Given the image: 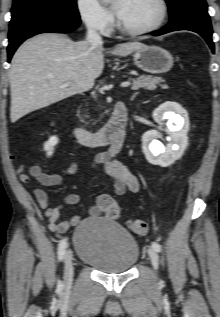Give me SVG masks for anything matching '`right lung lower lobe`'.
Listing matches in <instances>:
<instances>
[{
  "mask_svg": "<svg viewBox=\"0 0 220 317\" xmlns=\"http://www.w3.org/2000/svg\"><path fill=\"white\" fill-rule=\"evenodd\" d=\"M80 19L54 13H36L10 22L8 62L17 47L27 38L44 32L67 33L80 25Z\"/></svg>",
  "mask_w": 220,
  "mask_h": 317,
  "instance_id": "1",
  "label": "right lung lower lobe"
}]
</instances>
